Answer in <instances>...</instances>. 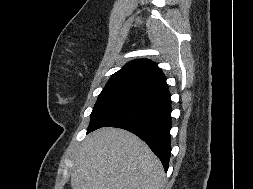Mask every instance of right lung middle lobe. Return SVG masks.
Masks as SVG:
<instances>
[{
  "instance_id": "dd1d6c3e",
  "label": "right lung middle lobe",
  "mask_w": 253,
  "mask_h": 189,
  "mask_svg": "<svg viewBox=\"0 0 253 189\" xmlns=\"http://www.w3.org/2000/svg\"><path fill=\"white\" fill-rule=\"evenodd\" d=\"M147 92L132 88H104L90 115L89 128L116 110L145 96Z\"/></svg>"
}]
</instances>
